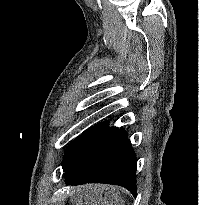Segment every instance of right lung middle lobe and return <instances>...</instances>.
<instances>
[{
    "label": "right lung middle lobe",
    "mask_w": 199,
    "mask_h": 205,
    "mask_svg": "<svg viewBox=\"0 0 199 205\" xmlns=\"http://www.w3.org/2000/svg\"><path fill=\"white\" fill-rule=\"evenodd\" d=\"M117 130L108 127V122H101L78 136L66 149L62 162L64 171L86 153L103 144Z\"/></svg>",
    "instance_id": "right-lung-middle-lobe-1"
}]
</instances>
